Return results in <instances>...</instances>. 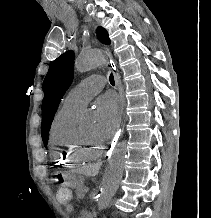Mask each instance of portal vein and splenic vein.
Here are the masks:
<instances>
[{"label": "portal vein and splenic vein", "instance_id": "1", "mask_svg": "<svg viewBox=\"0 0 211 218\" xmlns=\"http://www.w3.org/2000/svg\"><path fill=\"white\" fill-rule=\"evenodd\" d=\"M90 187L88 186H86L85 188H84V191H87L88 189H89Z\"/></svg>", "mask_w": 211, "mask_h": 218}]
</instances>
